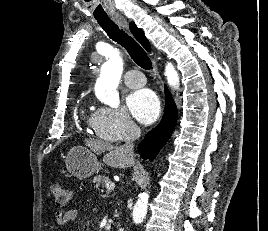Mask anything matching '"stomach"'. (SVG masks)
<instances>
[{
    "label": "stomach",
    "mask_w": 268,
    "mask_h": 231,
    "mask_svg": "<svg viewBox=\"0 0 268 231\" xmlns=\"http://www.w3.org/2000/svg\"><path fill=\"white\" fill-rule=\"evenodd\" d=\"M65 164L68 172L80 180L97 174L101 169L96 155L89 148L80 145L69 150Z\"/></svg>",
    "instance_id": "0dacf381"
}]
</instances>
